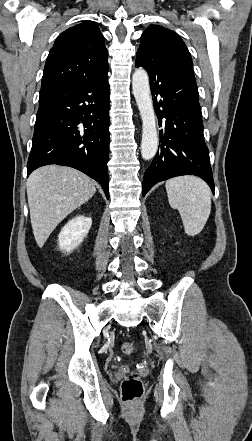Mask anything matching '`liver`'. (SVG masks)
<instances>
[{"label": "liver", "instance_id": "6515ba94", "mask_svg": "<svg viewBox=\"0 0 252 441\" xmlns=\"http://www.w3.org/2000/svg\"><path fill=\"white\" fill-rule=\"evenodd\" d=\"M26 186L32 230L39 247L67 215L96 192L94 181L87 175L58 165L36 169Z\"/></svg>", "mask_w": 252, "mask_h": 441}]
</instances>
